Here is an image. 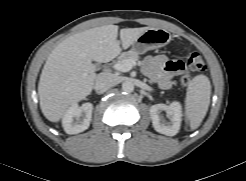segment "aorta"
Listing matches in <instances>:
<instances>
[{
	"instance_id": "obj_1",
	"label": "aorta",
	"mask_w": 246,
	"mask_h": 181,
	"mask_svg": "<svg viewBox=\"0 0 246 181\" xmlns=\"http://www.w3.org/2000/svg\"><path fill=\"white\" fill-rule=\"evenodd\" d=\"M122 90L131 93L134 91V84L131 81H125L122 83Z\"/></svg>"
}]
</instances>
